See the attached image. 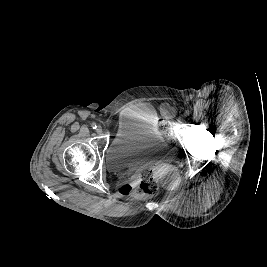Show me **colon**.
I'll return each instance as SVG.
<instances>
[{"mask_svg": "<svg viewBox=\"0 0 267 267\" xmlns=\"http://www.w3.org/2000/svg\"><path fill=\"white\" fill-rule=\"evenodd\" d=\"M158 190L159 180L155 170L151 167H146L140 172L134 187L124 185L120 191H125L127 195H155Z\"/></svg>", "mask_w": 267, "mask_h": 267, "instance_id": "5ec220e1", "label": "colon"}]
</instances>
